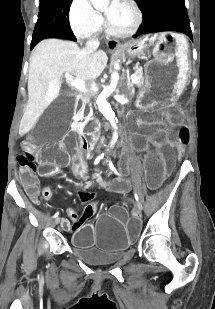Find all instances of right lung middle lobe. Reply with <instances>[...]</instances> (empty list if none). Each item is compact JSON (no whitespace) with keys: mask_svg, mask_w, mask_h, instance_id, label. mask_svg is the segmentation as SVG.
I'll use <instances>...</instances> for the list:
<instances>
[{"mask_svg":"<svg viewBox=\"0 0 215 309\" xmlns=\"http://www.w3.org/2000/svg\"><path fill=\"white\" fill-rule=\"evenodd\" d=\"M72 0H40L38 20L33 32L31 48L40 40L60 37L76 41L70 24L69 9Z\"/></svg>","mask_w":215,"mask_h":309,"instance_id":"right-lung-middle-lobe-1","label":"right lung middle lobe"}]
</instances>
